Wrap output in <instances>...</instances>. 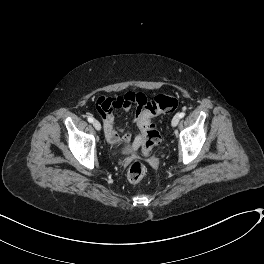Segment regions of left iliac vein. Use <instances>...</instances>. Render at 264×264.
<instances>
[{
  "instance_id": "4c4485c4",
  "label": "left iliac vein",
  "mask_w": 264,
  "mask_h": 264,
  "mask_svg": "<svg viewBox=\"0 0 264 264\" xmlns=\"http://www.w3.org/2000/svg\"><path fill=\"white\" fill-rule=\"evenodd\" d=\"M179 121H180V117H179L178 114H177V115H175V116L173 117V119H172V121H171V125H172L173 127H176V126L178 125Z\"/></svg>"
}]
</instances>
